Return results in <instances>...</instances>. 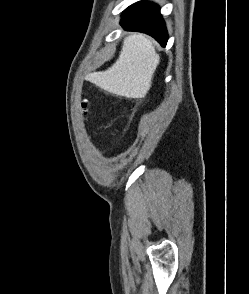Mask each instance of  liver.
<instances>
[{"label": "liver", "instance_id": "1", "mask_svg": "<svg viewBox=\"0 0 249 294\" xmlns=\"http://www.w3.org/2000/svg\"><path fill=\"white\" fill-rule=\"evenodd\" d=\"M159 61L153 40L141 33H131L124 39L116 62L105 71L89 74L88 79L112 94L141 98L151 88Z\"/></svg>", "mask_w": 249, "mask_h": 294}]
</instances>
